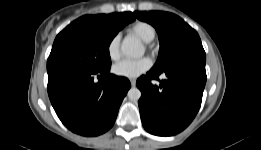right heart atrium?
Listing matches in <instances>:
<instances>
[{
    "mask_svg": "<svg viewBox=\"0 0 261 150\" xmlns=\"http://www.w3.org/2000/svg\"><path fill=\"white\" fill-rule=\"evenodd\" d=\"M107 54L113 61L120 57V37L114 35L107 44Z\"/></svg>",
    "mask_w": 261,
    "mask_h": 150,
    "instance_id": "obj_1",
    "label": "right heart atrium"
}]
</instances>
